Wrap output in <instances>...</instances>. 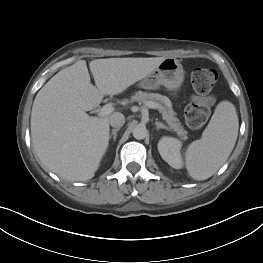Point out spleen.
<instances>
[{
	"mask_svg": "<svg viewBox=\"0 0 263 263\" xmlns=\"http://www.w3.org/2000/svg\"><path fill=\"white\" fill-rule=\"evenodd\" d=\"M236 109L220 102L200 140L193 141L185 154L186 168L195 180L211 177L227 160L238 136Z\"/></svg>",
	"mask_w": 263,
	"mask_h": 263,
	"instance_id": "3e777b00",
	"label": "spleen"
}]
</instances>
